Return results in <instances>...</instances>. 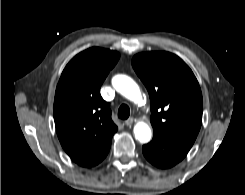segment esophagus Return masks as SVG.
<instances>
[{"label":"esophagus","instance_id":"34e87169","mask_svg":"<svg viewBox=\"0 0 245 195\" xmlns=\"http://www.w3.org/2000/svg\"><path fill=\"white\" fill-rule=\"evenodd\" d=\"M134 121H135L134 118H129L125 121V124L127 126H131L134 123Z\"/></svg>","mask_w":245,"mask_h":195}]
</instances>
